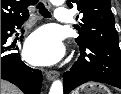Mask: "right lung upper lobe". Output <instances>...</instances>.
I'll list each match as a JSON object with an SVG mask.
<instances>
[{"label": "right lung upper lobe", "mask_w": 121, "mask_h": 94, "mask_svg": "<svg viewBox=\"0 0 121 94\" xmlns=\"http://www.w3.org/2000/svg\"><path fill=\"white\" fill-rule=\"evenodd\" d=\"M37 1L38 0H1V25L27 17V7L35 4Z\"/></svg>", "instance_id": "obj_1"}]
</instances>
